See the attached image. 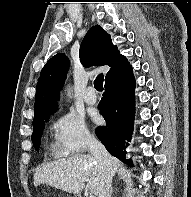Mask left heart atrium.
Wrapping results in <instances>:
<instances>
[{
    "instance_id": "left-heart-atrium-1",
    "label": "left heart atrium",
    "mask_w": 191,
    "mask_h": 197,
    "mask_svg": "<svg viewBox=\"0 0 191 197\" xmlns=\"http://www.w3.org/2000/svg\"><path fill=\"white\" fill-rule=\"evenodd\" d=\"M94 120H95V121H98V120H99V117H98L97 114L94 115Z\"/></svg>"
}]
</instances>
